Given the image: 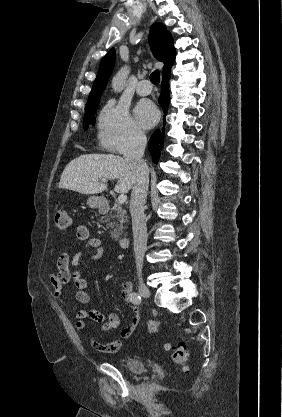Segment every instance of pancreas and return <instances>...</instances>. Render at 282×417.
<instances>
[{"label": "pancreas", "instance_id": "cf45deb5", "mask_svg": "<svg viewBox=\"0 0 282 417\" xmlns=\"http://www.w3.org/2000/svg\"><path fill=\"white\" fill-rule=\"evenodd\" d=\"M127 221V213L125 209H122V204H119V202L112 206L110 215L101 217V223H106V229H110L114 241H119L121 235H123V229H125Z\"/></svg>", "mask_w": 282, "mask_h": 417}]
</instances>
